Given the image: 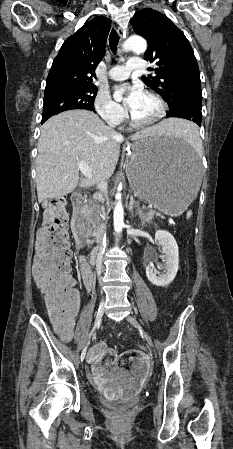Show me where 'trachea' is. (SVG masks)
<instances>
[{
    "label": "trachea",
    "mask_w": 233,
    "mask_h": 449,
    "mask_svg": "<svg viewBox=\"0 0 233 449\" xmlns=\"http://www.w3.org/2000/svg\"><path fill=\"white\" fill-rule=\"evenodd\" d=\"M118 42H119L118 34L115 31V29H112L109 36V45L114 54L116 53Z\"/></svg>",
    "instance_id": "obj_1"
}]
</instances>
